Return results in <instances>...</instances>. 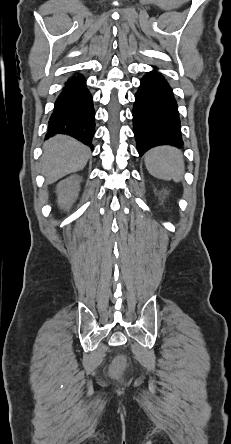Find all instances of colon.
I'll list each match as a JSON object with an SVG mask.
<instances>
[{"instance_id": "5ec220e1", "label": "colon", "mask_w": 231, "mask_h": 444, "mask_svg": "<svg viewBox=\"0 0 231 444\" xmlns=\"http://www.w3.org/2000/svg\"><path fill=\"white\" fill-rule=\"evenodd\" d=\"M124 366V362L123 360L119 359L115 362L114 366H113V373L114 374H118L120 373V371L122 370Z\"/></svg>"}]
</instances>
